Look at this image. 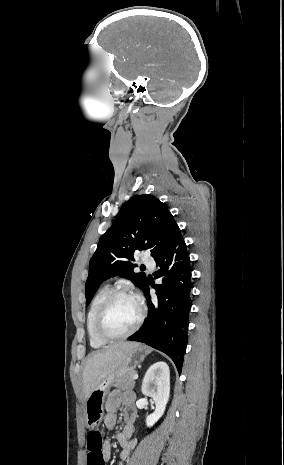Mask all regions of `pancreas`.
<instances>
[{
	"mask_svg": "<svg viewBox=\"0 0 284 465\" xmlns=\"http://www.w3.org/2000/svg\"><path fill=\"white\" fill-rule=\"evenodd\" d=\"M134 375H136V371H131L127 375H119L115 387L121 391H131L135 387Z\"/></svg>",
	"mask_w": 284,
	"mask_h": 465,
	"instance_id": "obj_1",
	"label": "pancreas"
}]
</instances>
